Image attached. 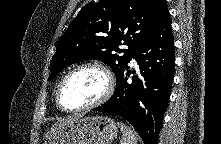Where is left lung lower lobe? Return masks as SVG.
I'll return each mask as SVG.
<instances>
[{"label":"left lung lower lobe","mask_w":221,"mask_h":144,"mask_svg":"<svg viewBox=\"0 0 221 144\" xmlns=\"http://www.w3.org/2000/svg\"><path fill=\"white\" fill-rule=\"evenodd\" d=\"M132 57L139 65V73L136 74L135 70L131 72L127 64L117 77L112 97L93 110L123 117L145 144H158L174 71V40L168 12ZM131 73L134 76L128 82Z\"/></svg>","instance_id":"0a47b994"}]
</instances>
